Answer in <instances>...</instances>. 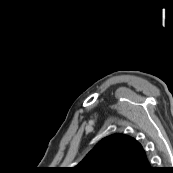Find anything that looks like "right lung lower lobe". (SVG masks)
<instances>
[{
    "label": "right lung lower lobe",
    "mask_w": 173,
    "mask_h": 173,
    "mask_svg": "<svg viewBox=\"0 0 173 173\" xmlns=\"http://www.w3.org/2000/svg\"><path fill=\"white\" fill-rule=\"evenodd\" d=\"M126 173H155V170L150 167L148 160L145 158L132 166Z\"/></svg>",
    "instance_id": "1"
}]
</instances>
